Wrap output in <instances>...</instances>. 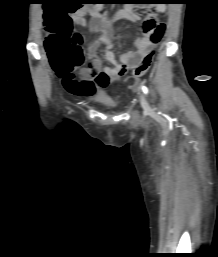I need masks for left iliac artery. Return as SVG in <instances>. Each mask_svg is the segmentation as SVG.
Masks as SVG:
<instances>
[{"label": "left iliac artery", "mask_w": 218, "mask_h": 257, "mask_svg": "<svg viewBox=\"0 0 218 257\" xmlns=\"http://www.w3.org/2000/svg\"><path fill=\"white\" fill-rule=\"evenodd\" d=\"M142 90L145 94H148V88L146 86H142Z\"/></svg>", "instance_id": "44dca946"}]
</instances>
